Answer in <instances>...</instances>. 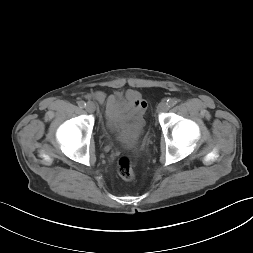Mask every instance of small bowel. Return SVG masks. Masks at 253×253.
<instances>
[{
  "label": "small bowel",
  "mask_w": 253,
  "mask_h": 253,
  "mask_svg": "<svg viewBox=\"0 0 253 253\" xmlns=\"http://www.w3.org/2000/svg\"><path fill=\"white\" fill-rule=\"evenodd\" d=\"M91 97L104 105L105 116L110 126H117L127 119L138 120L147 106L136 90H128L124 96L106 95L102 91H97Z\"/></svg>",
  "instance_id": "1"
}]
</instances>
